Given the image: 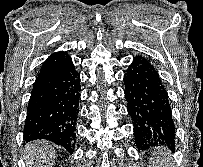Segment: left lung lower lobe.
Here are the masks:
<instances>
[{
  "label": "left lung lower lobe",
  "mask_w": 203,
  "mask_h": 167,
  "mask_svg": "<svg viewBox=\"0 0 203 167\" xmlns=\"http://www.w3.org/2000/svg\"><path fill=\"white\" fill-rule=\"evenodd\" d=\"M125 98L139 149L175 146V126L168 94L154 66L135 56L124 75Z\"/></svg>",
  "instance_id": "1"
}]
</instances>
